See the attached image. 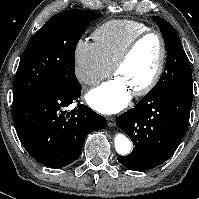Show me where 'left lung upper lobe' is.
<instances>
[{
    "label": "left lung upper lobe",
    "mask_w": 199,
    "mask_h": 199,
    "mask_svg": "<svg viewBox=\"0 0 199 199\" xmlns=\"http://www.w3.org/2000/svg\"><path fill=\"white\" fill-rule=\"evenodd\" d=\"M153 18L160 27L165 42L167 63L161 79L148 95H160L175 88H192L191 66L176 30L159 16Z\"/></svg>",
    "instance_id": "left-lung-upper-lobe-1"
}]
</instances>
